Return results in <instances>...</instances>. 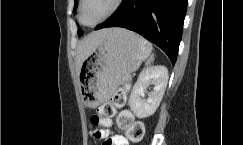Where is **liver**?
<instances>
[{"instance_id": "liver-1", "label": "liver", "mask_w": 243, "mask_h": 145, "mask_svg": "<svg viewBox=\"0 0 243 145\" xmlns=\"http://www.w3.org/2000/svg\"><path fill=\"white\" fill-rule=\"evenodd\" d=\"M111 31V29H102L94 31L84 37L78 44L76 51V69L79 72L82 63L96 50L102 43L104 37Z\"/></svg>"}]
</instances>
